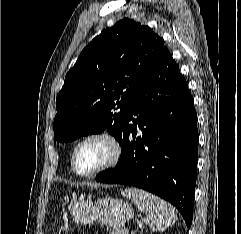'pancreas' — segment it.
Returning a JSON list of instances; mask_svg holds the SVG:
<instances>
[{"label": "pancreas", "mask_w": 241, "mask_h": 234, "mask_svg": "<svg viewBox=\"0 0 241 234\" xmlns=\"http://www.w3.org/2000/svg\"><path fill=\"white\" fill-rule=\"evenodd\" d=\"M110 234H127L124 228L114 229Z\"/></svg>", "instance_id": "pancreas-1"}]
</instances>
